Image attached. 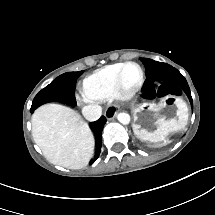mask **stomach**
Wrapping results in <instances>:
<instances>
[{
    "instance_id": "stomach-1",
    "label": "stomach",
    "mask_w": 215,
    "mask_h": 215,
    "mask_svg": "<svg viewBox=\"0 0 215 215\" xmlns=\"http://www.w3.org/2000/svg\"><path fill=\"white\" fill-rule=\"evenodd\" d=\"M132 114L135 136L150 143L168 142L172 135L186 127L189 116L185 101L175 95L135 103Z\"/></svg>"
}]
</instances>
